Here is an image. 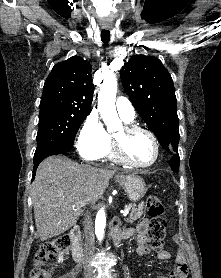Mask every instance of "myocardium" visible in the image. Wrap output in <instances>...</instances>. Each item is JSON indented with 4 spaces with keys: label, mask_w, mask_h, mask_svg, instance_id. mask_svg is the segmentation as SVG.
<instances>
[{
    "label": "myocardium",
    "mask_w": 221,
    "mask_h": 278,
    "mask_svg": "<svg viewBox=\"0 0 221 278\" xmlns=\"http://www.w3.org/2000/svg\"><path fill=\"white\" fill-rule=\"evenodd\" d=\"M123 129L127 135H131L136 132L146 133L153 142L155 156H154V159L152 160V162H150L149 164H136L127 158V156L124 154L122 144L114 137L113 143H112V152H113L114 157L118 161L124 163L125 165H127L129 167L135 168V169H148V168L152 167L153 165H155L160 157V145H159L156 135L150 129L142 127V126H138V125H126Z\"/></svg>",
    "instance_id": "1"
}]
</instances>
